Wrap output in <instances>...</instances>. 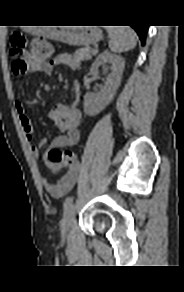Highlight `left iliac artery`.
<instances>
[{"label": "left iliac artery", "mask_w": 184, "mask_h": 292, "mask_svg": "<svg viewBox=\"0 0 184 292\" xmlns=\"http://www.w3.org/2000/svg\"><path fill=\"white\" fill-rule=\"evenodd\" d=\"M73 203V197H68L64 203V207L65 209L69 208L70 206H72Z\"/></svg>", "instance_id": "left-iliac-artery-1"}]
</instances>
